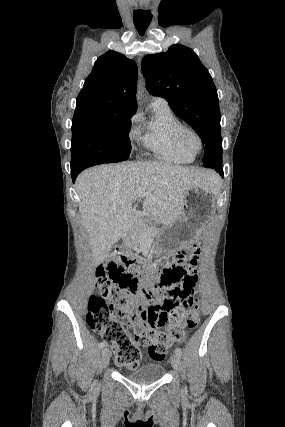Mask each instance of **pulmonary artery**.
Wrapping results in <instances>:
<instances>
[{"instance_id":"e3ab8cb5","label":"pulmonary artery","mask_w":285,"mask_h":427,"mask_svg":"<svg viewBox=\"0 0 285 427\" xmlns=\"http://www.w3.org/2000/svg\"><path fill=\"white\" fill-rule=\"evenodd\" d=\"M154 102L155 103H166V100L163 97H154Z\"/></svg>"}]
</instances>
